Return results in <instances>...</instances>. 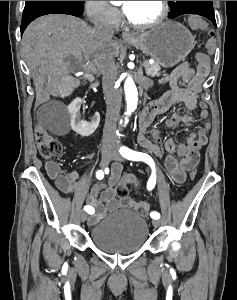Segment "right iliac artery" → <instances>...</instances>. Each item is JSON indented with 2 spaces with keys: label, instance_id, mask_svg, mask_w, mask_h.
Here are the masks:
<instances>
[{
  "label": "right iliac artery",
  "instance_id": "82829eb1",
  "mask_svg": "<svg viewBox=\"0 0 237 300\" xmlns=\"http://www.w3.org/2000/svg\"><path fill=\"white\" fill-rule=\"evenodd\" d=\"M96 177H97L99 180L103 179V177H104V172H103L102 170H98V171L96 172ZM84 210H85L87 213H89V214H93V213L95 212V209H94L92 206H89V205L85 206V207H84Z\"/></svg>",
  "mask_w": 237,
  "mask_h": 300
}]
</instances>
